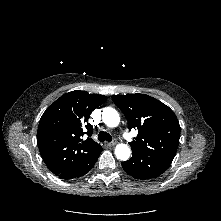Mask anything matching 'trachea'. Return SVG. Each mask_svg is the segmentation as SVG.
Masks as SVG:
<instances>
[{"label": "trachea", "instance_id": "1", "mask_svg": "<svg viewBox=\"0 0 221 221\" xmlns=\"http://www.w3.org/2000/svg\"><path fill=\"white\" fill-rule=\"evenodd\" d=\"M98 140L100 142H104V141L110 142L112 140V136L105 131H101L98 134Z\"/></svg>", "mask_w": 221, "mask_h": 221}]
</instances>
